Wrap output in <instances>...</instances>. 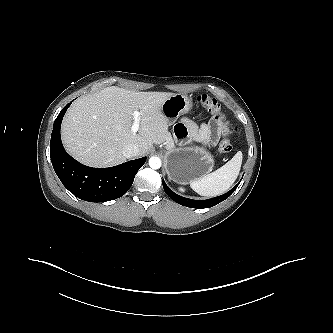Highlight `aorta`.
Masks as SVG:
<instances>
[{
    "label": "aorta",
    "mask_w": 333,
    "mask_h": 333,
    "mask_svg": "<svg viewBox=\"0 0 333 333\" xmlns=\"http://www.w3.org/2000/svg\"><path fill=\"white\" fill-rule=\"evenodd\" d=\"M149 166L152 169H159L161 167V160L158 157H151L149 159Z\"/></svg>",
    "instance_id": "1"
}]
</instances>
